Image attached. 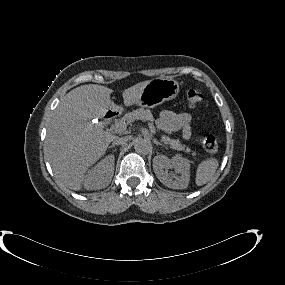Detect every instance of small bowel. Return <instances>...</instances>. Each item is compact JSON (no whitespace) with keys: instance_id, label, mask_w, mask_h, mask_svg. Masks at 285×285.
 Segmentation results:
<instances>
[{"instance_id":"c3829d8e","label":"small bowel","mask_w":285,"mask_h":285,"mask_svg":"<svg viewBox=\"0 0 285 285\" xmlns=\"http://www.w3.org/2000/svg\"><path fill=\"white\" fill-rule=\"evenodd\" d=\"M191 123L192 117L186 112L163 111L157 120V125L161 130L167 133L182 131L185 139L191 136Z\"/></svg>"}]
</instances>
